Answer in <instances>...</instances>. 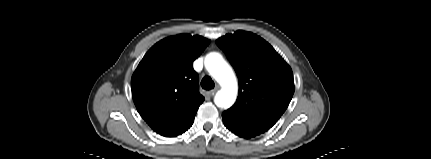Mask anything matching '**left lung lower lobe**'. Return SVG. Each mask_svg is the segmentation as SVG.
Here are the masks:
<instances>
[{
	"instance_id": "obj_1",
	"label": "left lung lower lobe",
	"mask_w": 431,
	"mask_h": 159,
	"mask_svg": "<svg viewBox=\"0 0 431 159\" xmlns=\"http://www.w3.org/2000/svg\"><path fill=\"white\" fill-rule=\"evenodd\" d=\"M223 123L227 129H229L234 134L243 137V138H252L257 135H260L267 131L268 129L265 127L252 126L248 124H244L242 122L237 121L229 117L228 115L222 114Z\"/></svg>"
}]
</instances>
